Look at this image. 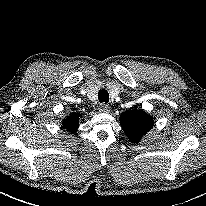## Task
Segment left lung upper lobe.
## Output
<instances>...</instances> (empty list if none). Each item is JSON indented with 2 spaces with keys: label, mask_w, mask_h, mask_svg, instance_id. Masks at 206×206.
I'll return each mask as SVG.
<instances>
[{
  "label": "left lung upper lobe",
  "mask_w": 206,
  "mask_h": 206,
  "mask_svg": "<svg viewBox=\"0 0 206 206\" xmlns=\"http://www.w3.org/2000/svg\"><path fill=\"white\" fill-rule=\"evenodd\" d=\"M123 131L133 143H137L152 128L153 118L142 110H130L120 116Z\"/></svg>",
  "instance_id": "obj_1"
}]
</instances>
